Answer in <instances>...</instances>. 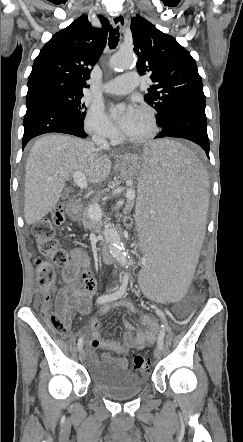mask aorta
Segmentation results:
<instances>
[{"mask_svg": "<svg viewBox=\"0 0 243 442\" xmlns=\"http://www.w3.org/2000/svg\"><path fill=\"white\" fill-rule=\"evenodd\" d=\"M135 66L133 52H118L110 60V67L114 71L126 70ZM116 109H123V105ZM104 237L110 246V251L117 261L127 263L130 261V255L125 250L120 235L113 223H108L104 229Z\"/></svg>", "mask_w": 243, "mask_h": 442, "instance_id": "aorta-1", "label": "aorta"}]
</instances>
